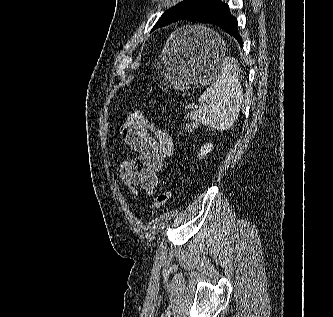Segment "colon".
<instances>
[{"instance_id":"obj_1","label":"colon","mask_w":333,"mask_h":317,"mask_svg":"<svg viewBox=\"0 0 333 317\" xmlns=\"http://www.w3.org/2000/svg\"><path fill=\"white\" fill-rule=\"evenodd\" d=\"M194 124L192 122H188L185 125L186 131L191 132L194 129ZM172 197V191L169 188L163 189L155 198L153 203L151 204V210H157L164 206L166 203L170 201Z\"/></svg>"}]
</instances>
